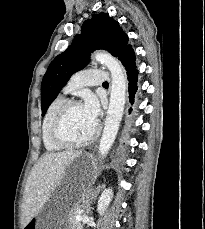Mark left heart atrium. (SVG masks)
Returning a JSON list of instances; mask_svg holds the SVG:
<instances>
[{
    "mask_svg": "<svg viewBox=\"0 0 205 229\" xmlns=\"http://www.w3.org/2000/svg\"><path fill=\"white\" fill-rule=\"evenodd\" d=\"M82 106L85 112L87 113V115L89 116V118L93 120L94 122H97V118H98L99 111H100L97 98L92 94H88L85 97L84 103Z\"/></svg>",
    "mask_w": 205,
    "mask_h": 229,
    "instance_id": "obj_1",
    "label": "left heart atrium"
}]
</instances>
